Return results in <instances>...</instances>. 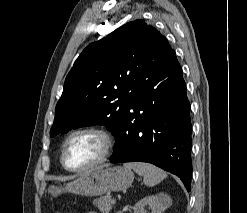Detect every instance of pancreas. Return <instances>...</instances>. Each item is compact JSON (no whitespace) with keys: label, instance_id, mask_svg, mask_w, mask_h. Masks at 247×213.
I'll return each instance as SVG.
<instances>
[{"label":"pancreas","instance_id":"obj_1","mask_svg":"<svg viewBox=\"0 0 247 213\" xmlns=\"http://www.w3.org/2000/svg\"><path fill=\"white\" fill-rule=\"evenodd\" d=\"M112 198L110 194H106L98 199L93 201V204L102 212V213H109L112 209Z\"/></svg>","mask_w":247,"mask_h":213}]
</instances>
